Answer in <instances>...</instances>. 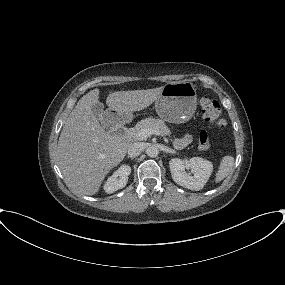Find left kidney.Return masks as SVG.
<instances>
[{
  "mask_svg": "<svg viewBox=\"0 0 285 285\" xmlns=\"http://www.w3.org/2000/svg\"><path fill=\"white\" fill-rule=\"evenodd\" d=\"M169 167L172 178L178 185L194 191L204 187L213 171L212 162L201 157H193L189 161L173 158L169 161ZM186 169H191L193 176L186 173Z\"/></svg>",
  "mask_w": 285,
  "mask_h": 285,
  "instance_id": "left-kidney-1",
  "label": "left kidney"
}]
</instances>
